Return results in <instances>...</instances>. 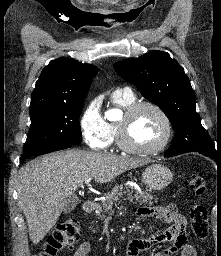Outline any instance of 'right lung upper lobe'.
Returning a JSON list of instances; mask_svg holds the SVG:
<instances>
[{
    "mask_svg": "<svg viewBox=\"0 0 221 256\" xmlns=\"http://www.w3.org/2000/svg\"><path fill=\"white\" fill-rule=\"evenodd\" d=\"M98 68L72 58L52 60L41 72L30 110L84 102Z\"/></svg>",
    "mask_w": 221,
    "mask_h": 256,
    "instance_id": "obj_1",
    "label": "right lung upper lobe"
}]
</instances>
